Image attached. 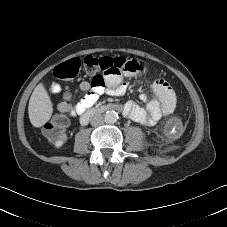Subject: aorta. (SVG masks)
<instances>
[{"label":"aorta","mask_w":227,"mask_h":227,"mask_svg":"<svg viewBox=\"0 0 227 227\" xmlns=\"http://www.w3.org/2000/svg\"><path fill=\"white\" fill-rule=\"evenodd\" d=\"M104 120L107 123H115L118 120V114L115 111H107L104 115Z\"/></svg>","instance_id":"1"}]
</instances>
